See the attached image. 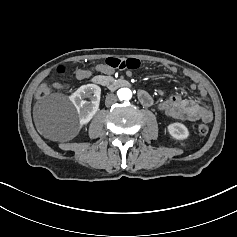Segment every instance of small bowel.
I'll use <instances>...</instances> for the list:
<instances>
[{
  "mask_svg": "<svg viewBox=\"0 0 237 237\" xmlns=\"http://www.w3.org/2000/svg\"><path fill=\"white\" fill-rule=\"evenodd\" d=\"M167 69L171 73L177 71L175 66H169ZM96 71L104 74H111L114 69L103 63L96 66ZM184 73L192 80L190 88L192 90H198L200 97L205 100L208 96L206 88L188 71H185ZM76 75L78 79H85L91 75V72L87 70H78ZM55 87L60 88L61 86L56 84ZM137 96L139 102L143 106H154V99L147 91L139 90ZM157 108L172 119L185 120L189 122H197L199 120L210 122L213 118V112L207 102L199 103L191 99H186L181 95H174L159 102Z\"/></svg>",
  "mask_w": 237,
  "mask_h": 237,
  "instance_id": "c3829d8e",
  "label": "small bowel"
}]
</instances>
